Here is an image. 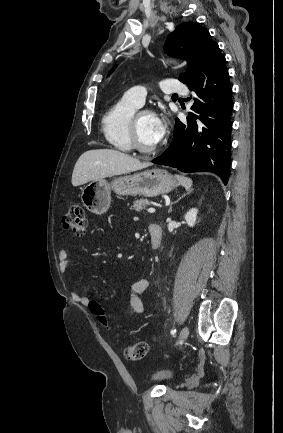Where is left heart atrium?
<instances>
[{"instance_id": "left-heart-atrium-1", "label": "left heart atrium", "mask_w": 283, "mask_h": 433, "mask_svg": "<svg viewBox=\"0 0 283 433\" xmlns=\"http://www.w3.org/2000/svg\"><path fill=\"white\" fill-rule=\"evenodd\" d=\"M165 129L166 124L164 120L157 115H153L152 129L150 133V141L153 146H157L161 142L165 134Z\"/></svg>"}]
</instances>
